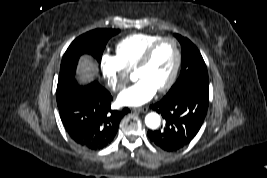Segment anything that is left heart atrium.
<instances>
[{
    "instance_id": "39dd6f15",
    "label": "left heart atrium",
    "mask_w": 267,
    "mask_h": 178,
    "mask_svg": "<svg viewBox=\"0 0 267 178\" xmlns=\"http://www.w3.org/2000/svg\"><path fill=\"white\" fill-rule=\"evenodd\" d=\"M157 88L146 79H139L135 84L122 91L118 102L126 106H140L151 100Z\"/></svg>"
}]
</instances>
